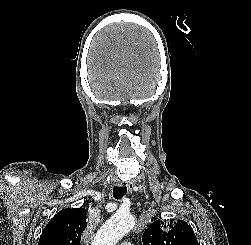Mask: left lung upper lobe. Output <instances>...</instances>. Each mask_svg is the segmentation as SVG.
<instances>
[{
	"label": "left lung upper lobe",
	"instance_id": "left-lung-upper-lobe-1",
	"mask_svg": "<svg viewBox=\"0 0 251 245\" xmlns=\"http://www.w3.org/2000/svg\"><path fill=\"white\" fill-rule=\"evenodd\" d=\"M162 223L158 220L148 226L142 237L143 245H200L192 228L186 222L178 220L173 225L171 222L168 223L169 231L162 229Z\"/></svg>",
	"mask_w": 251,
	"mask_h": 245
}]
</instances>
